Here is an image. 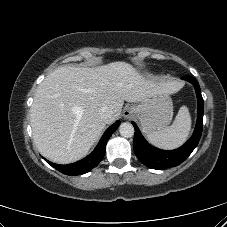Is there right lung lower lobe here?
<instances>
[{
    "label": "right lung lower lobe",
    "mask_w": 227,
    "mask_h": 227,
    "mask_svg": "<svg viewBox=\"0 0 227 227\" xmlns=\"http://www.w3.org/2000/svg\"><path fill=\"white\" fill-rule=\"evenodd\" d=\"M119 124H120V121L118 120L113 125H111L105 131V133L103 134L102 138L100 139L98 145L95 147L93 152L89 154L87 157H85L84 159L68 165L54 164L45 159L46 162H48L52 167H54L61 173L70 175V176L81 175L89 172L94 167H96L104 157L107 141L109 140L112 133L117 129Z\"/></svg>",
    "instance_id": "obj_1"
}]
</instances>
